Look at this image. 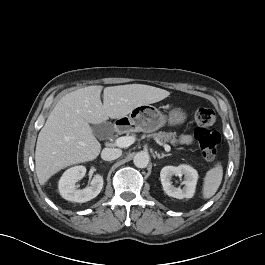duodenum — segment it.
Here are the masks:
<instances>
[{
    "instance_id": "obj_1",
    "label": "duodenum",
    "mask_w": 265,
    "mask_h": 265,
    "mask_svg": "<svg viewBox=\"0 0 265 265\" xmlns=\"http://www.w3.org/2000/svg\"><path fill=\"white\" fill-rule=\"evenodd\" d=\"M125 124H127V123H125V122H117V123L115 124V126H114V131H115V133H120V132H122L123 127L125 126Z\"/></svg>"
}]
</instances>
